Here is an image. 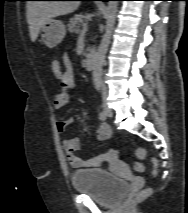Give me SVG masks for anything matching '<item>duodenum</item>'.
<instances>
[{
  "instance_id": "1",
  "label": "duodenum",
  "mask_w": 188,
  "mask_h": 213,
  "mask_svg": "<svg viewBox=\"0 0 188 213\" xmlns=\"http://www.w3.org/2000/svg\"><path fill=\"white\" fill-rule=\"evenodd\" d=\"M95 60H96V57L94 54L87 57L84 61V68L86 70L92 71L95 68Z\"/></svg>"
}]
</instances>
